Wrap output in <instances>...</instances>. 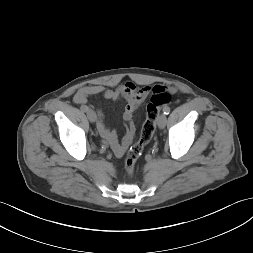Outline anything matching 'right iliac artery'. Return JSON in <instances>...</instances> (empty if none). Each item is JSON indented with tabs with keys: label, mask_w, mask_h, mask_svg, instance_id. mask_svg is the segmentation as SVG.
<instances>
[{
	"label": "right iliac artery",
	"mask_w": 253,
	"mask_h": 253,
	"mask_svg": "<svg viewBox=\"0 0 253 253\" xmlns=\"http://www.w3.org/2000/svg\"><path fill=\"white\" fill-rule=\"evenodd\" d=\"M88 109H89V108H88L87 106H82V107H81V110L84 111V112H87Z\"/></svg>",
	"instance_id": "obj_1"
}]
</instances>
